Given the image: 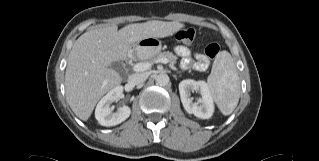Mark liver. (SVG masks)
<instances>
[{
  "label": "liver",
  "mask_w": 319,
  "mask_h": 161,
  "mask_svg": "<svg viewBox=\"0 0 319 161\" xmlns=\"http://www.w3.org/2000/svg\"><path fill=\"white\" fill-rule=\"evenodd\" d=\"M184 24L173 21H148L130 24L118 30L102 25L82 34L73 44L65 72L67 102L75 115L88 120L99 99L121 84L119 73L110 66L127 58L140 40L173 35Z\"/></svg>",
  "instance_id": "1"
}]
</instances>
